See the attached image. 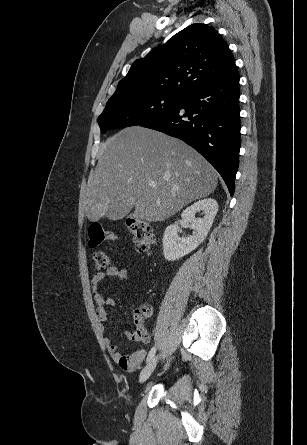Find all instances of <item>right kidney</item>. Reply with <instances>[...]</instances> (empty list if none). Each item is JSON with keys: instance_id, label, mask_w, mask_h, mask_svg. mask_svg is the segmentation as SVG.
I'll return each mask as SVG.
<instances>
[{"instance_id": "ca27d5eb", "label": "right kidney", "mask_w": 307, "mask_h": 445, "mask_svg": "<svg viewBox=\"0 0 307 445\" xmlns=\"http://www.w3.org/2000/svg\"><path fill=\"white\" fill-rule=\"evenodd\" d=\"M203 210L204 218H195V212ZM218 202L215 198H203L199 202H194L183 210L181 216L185 225L194 229L190 237L179 239L178 225H170L165 229L163 237V253L166 261H177L185 257L191 251H195L200 243L206 239L217 214Z\"/></svg>"}]
</instances>
